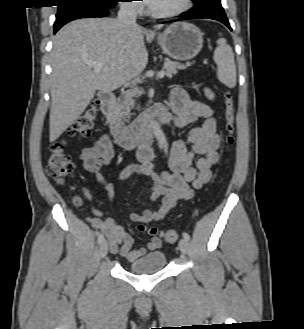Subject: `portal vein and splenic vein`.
<instances>
[{
    "mask_svg": "<svg viewBox=\"0 0 304 329\" xmlns=\"http://www.w3.org/2000/svg\"><path fill=\"white\" fill-rule=\"evenodd\" d=\"M86 64L89 65L90 67H92L93 70L96 72L100 71L104 66V64L102 62H96V61H93V62L89 61V62H86ZM164 75H165V71L161 70L159 72V78H163Z\"/></svg>",
    "mask_w": 304,
    "mask_h": 329,
    "instance_id": "portal-vein-and-splenic-vein-1",
    "label": "portal vein and splenic vein"
}]
</instances>
